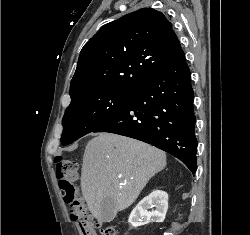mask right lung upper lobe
<instances>
[{"mask_svg": "<svg viewBox=\"0 0 250 235\" xmlns=\"http://www.w3.org/2000/svg\"><path fill=\"white\" fill-rule=\"evenodd\" d=\"M178 44L172 24L151 8L104 25L81 50L71 101L96 90H135L167 66Z\"/></svg>", "mask_w": 250, "mask_h": 235, "instance_id": "cb5924a9", "label": "right lung upper lobe"}]
</instances>
